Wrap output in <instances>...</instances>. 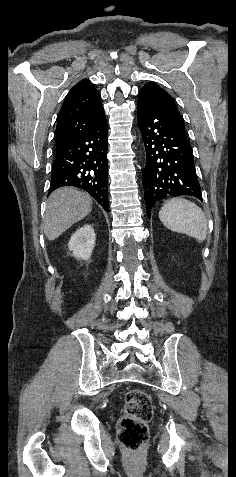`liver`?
<instances>
[{
	"label": "liver",
	"instance_id": "liver-1",
	"mask_svg": "<svg viewBox=\"0 0 236 477\" xmlns=\"http://www.w3.org/2000/svg\"><path fill=\"white\" fill-rule=\"evenodd\" d=\"M92 210V198L72 187L55 190L48 198L44 217V233L52 241Z\"/></svg>",
	"mask_w": 236,
	"mask_h": 477
}]
</instances>
